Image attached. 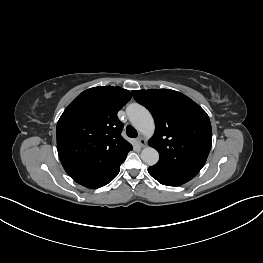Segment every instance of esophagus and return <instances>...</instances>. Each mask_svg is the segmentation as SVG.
Instances as JSON below:
<instances>
[{
  "instance_id": "obj_1",
  "label": "esophagus",
  "mask_w": 263,
  "mask_h": 263,
  "mask_svg": "<svg viewBox=\"0 0 263 263\" xmlns=\"http://www.w3.org/2000/svg\"><path fill=\"white\" fill-rule=\"evenodd\" d=\"M137 142H138L139 146H141V147H144L146 145V140L142 136H139L137 138Z\"/></svg>"
}]
</instances>
